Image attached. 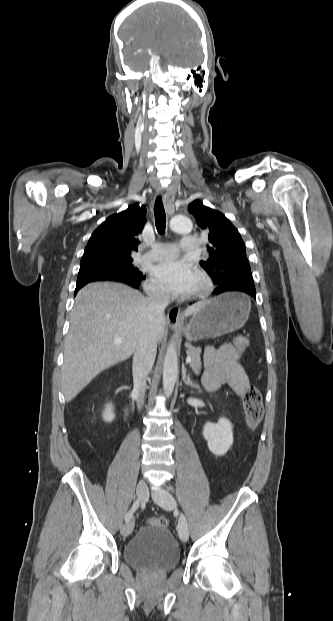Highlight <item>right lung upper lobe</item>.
I'll list each match as a JSON object with an SVG mask.
<instances>
[{"mask_svg": "<svg viewBox=\"0 0 333 621\" xmlns=\"http://www.w3.org/2000/svg\"><path fill=\"white\" fill-rule=\"evenodd\" d=\"M146 207L134 204L128 209L109 216L90 237L83 258L127 257L137 251Z\"/></svg>", "mask_w": 333, "mask_h": 621, "instance_id": "obj_1", "label": "right lung upper lobe"}]
</instances>
